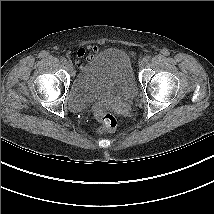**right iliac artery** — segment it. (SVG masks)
Masks as SVG:
<instances>
[{
  "mask_svg": "<svg viewBox=\"0 0 214 214\" xmlns=\"http://www.w3.org/2000/svg\"><path fill=\"white\" fill-rule=\"evenodd\" d=\"M60 61H61L62 63H65L67 60H66V58L62 57V58L60 59Z\"/></svg>",
  "mask_w": 214,
  "mask_h": 214,
  "instance_id": "1",
  "label": "right iliac artery"
}]
</instances>
